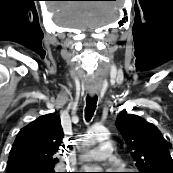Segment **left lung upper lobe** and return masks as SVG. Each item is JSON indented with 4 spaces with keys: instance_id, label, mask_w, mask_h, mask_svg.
<instances>
[{
    "instance_id": "5c2ea615",
    "label": "left lung upper lobe",
    "mask_w": 173,
    "mask_h": 173,
    "mask_svg": "<svg viewBox=\"0 0 173 173\" xmlns=\"http://www.w3.org/2000/svg\"><path fill=\"white\" fill-rule=\"evenodd\" d=\"M116 127L136 162L138 173H173L168 143L155 125L122 112L117 116Z\"/></svg>"
}]
</instances>
